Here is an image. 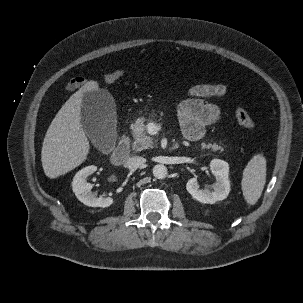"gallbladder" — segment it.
I'll return each instance as SVG.
<instances>
[{
  "label": "gallbladder",
  "mask_w": 303,
  "mask_h": 303,
  "mask_svg": "<svg viewBox=\"0 0 303 303\" xmlns=\"http://www.w3.org/2000/svg\"><path fill=\"white\" fill-rule=\"evenodd\" d=\"M81 125L95 147L106 150L114 141L116 107L112 95L103 89L86 92L81 104Z\"/></svg>",
  "instance_id": "obj_1"
}]
</instances>
